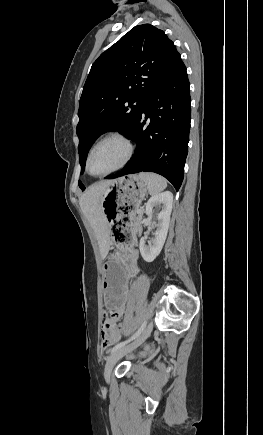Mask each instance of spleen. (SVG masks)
<instances>
[{
    "label": "spleen",
    "mask_w": 263,
    "mask_h": 435,
    "mask_svg": "<svg viewBox=\"0 0 263 435\" xmlns=\"http://www.w3.org/2000/svg\"><path fill=\"white\" fill-rule=\"evenodd\" d=\"M139 178L147 185L150 194H157L167 187V181L154 173L141 172Z\"/></svg>",
    "instance_id": "3e777b00"
}]
</instances>
